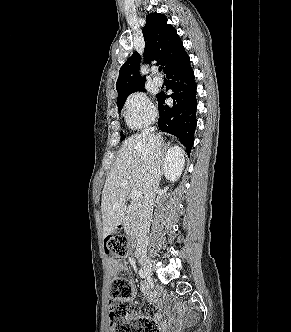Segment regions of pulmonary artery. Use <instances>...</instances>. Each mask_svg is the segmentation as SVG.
<instances>
[{"mask_svg":"<svg viewBox=\"0 0 291 332\" xmlns=\"http://www.w3.org/2000/svg\"><path fill=\"white\" fill-rule=\"evenodd\" d=\"M153 82L157 85V86H161L163 84V79L160 76H155L153 78Z\"/></svg>","mask_w":291,"mask_h":332,"instance_id":"pulmonary-artery-1","label":"pulmonary artery"}]
</instances>
